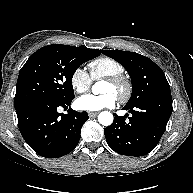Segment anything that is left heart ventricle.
I'll return each instance as SVG.
<instances>
[{
	"label": "left heart ventricle",
	"mask_w": 193,
	"mask_h": 193,
	"mask_svg": "<svg viewBox=\"0 0 193 193\" xmlns=\"http://www.w3.org/2000/svg\"><path fill=\"white\" fill-rule=\"evenodd\" d=\"M100 91L101 93H112L117 97L120 94L121 89L118 87H115L114 85L110 84L107 81H104Z\"/></svg>",
	"instance_id": "obj_1"
}]
</instances>
